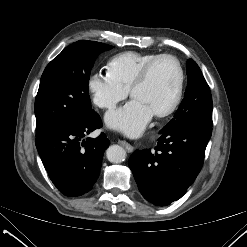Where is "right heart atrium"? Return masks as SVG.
I'll return each mask as SVG.
<instances>
[{
  "mask_svg": "<svg viewBox=\"0 0 247 247\" xmlns=\"http://www.w3.org/2000/svg\"><path fill=\"white\" fill-rule=\"evenodd\" d=\"M88 90L95 106L112 111L128 95V89L122 86L109 72L93 73L88 80Z\"/></svg>",
  "mask_w": 247,
  "mask_h": 247,
  "instance_id": "right-heart-atrium-1",
  "label": "right heart atrium"
}]
</instances>
